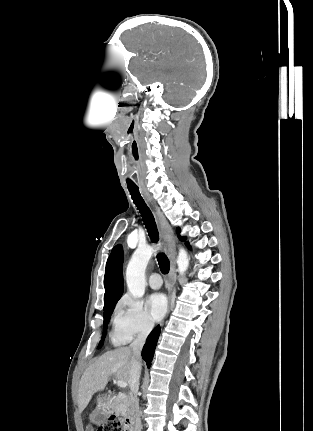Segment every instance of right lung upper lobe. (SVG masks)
Segmentation results:
<instances>
[{
	"mask_svg": "<svg viewBox=\"0 0 313 431\" xmlns=\"http://www.w3.org/2000/svg\"><path fill=\"white\" fill-rule=\"evenodd\" d=\"M122 265L123 248L121 245H117L112 249L106 264L104 307L117 302L123 293Z\"/></svg>",
	"mask_w": 313,
	"mask_h": 431,
	"instance_id": "1",
	"label": "right lung upper lobe"
}]
</instances>
